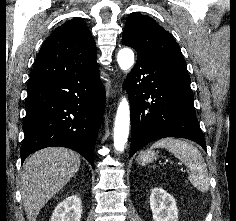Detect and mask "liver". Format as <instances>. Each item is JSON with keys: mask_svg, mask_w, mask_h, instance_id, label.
<instances>
[{"mask_svg": "<svg viewBox=\"0 0 236 221\" xmlns=\"http://www.w3.org/2000/svg\"><path fill=\"white\" fill-rule=\"evenodd\" d=\"M80 157L63 147H49L33 153L23 164L21 195L29 221L80 168Z\"/></svg>", "mask_w": 236, "mask_h": 221, "instance_id": "liver-1", "label": "liver"}]
</instances>
